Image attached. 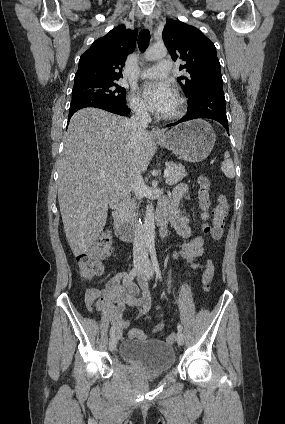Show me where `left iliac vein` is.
<instances>
[{
	"label": "left iliac vein",
	"mask_w": 285,
	"mask_h": 424,
	"mask_svg": "<svg viewBox=\"0 0 285 424\" xmlns=\"http://www.w3.org/2000/svg\"><path fill=\"white\" fill-rule=\"evenodd\" d=\"M142 273H143V276L145 278H147V279H150L153 276V266H152V264L150 262V259H149V257H148L147 254H145L143 256V260H142ZM176 340H177V343L179 345H183V343H184V335H183L182 332H179L178 331L177 336H176Z\"/></svg>",
	"instance_id": "4c4485c4"
}]
</instances>
